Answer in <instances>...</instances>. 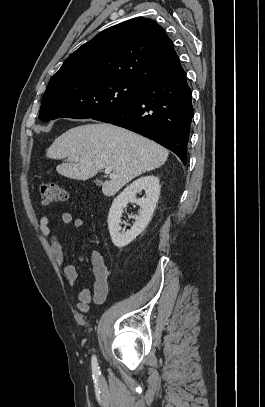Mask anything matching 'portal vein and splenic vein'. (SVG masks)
Wrapping results in <instances>:
<instances>
[{"label":"portal vein and splenic vein","instance_id":"18ae733b","mask_svg":"<svg viewBox=\"0 0 265 407\" xmlns=\"http://www.w3.org/2000/svg\"><path fill=\"white\" fill-rule=\"evenodd\" d=\"M105 174H110L111 177H115L113 174H111L110 168H105Z\"/></svg>","mask_w":265,"mask_h":407}]
</instances>
